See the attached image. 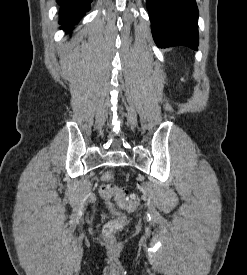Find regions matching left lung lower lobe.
Here are the masks:
<instances>
[{
  "instance_id": "0a47b994",
  "label": "left lung lower lobe",
  "mask_w": 247,
  "mask_h": 275,
  "mask_svg": "<svg viewBox=\"0 0 247 275\" xmlns=\"http://www.w3.org/2000/svg\"><path fill=\"white\" fill-rule=\"evenodd\" d=\"M153 38L160 48L197 50L198 8L195 0H147Z\"/></svg>"
}]
</instances>
